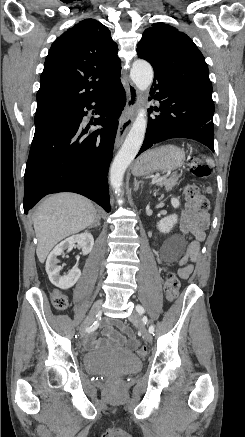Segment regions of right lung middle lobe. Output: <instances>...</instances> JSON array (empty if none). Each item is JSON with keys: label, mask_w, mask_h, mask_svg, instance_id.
I'll list each match as a JSON object with an SVG mask.
<instances>
[{"label": "right lung middle lobe", "mask_w": 245, "mask_h": 437, "mask_svg": "<svg viewBox=\"0 0 245 437\" xmlns=\"http://www.w3.org/2000/svg\"><path fill=\"white\" fill-rule=\"evenodd\" d=\"M62 106H57L49 109H44L40 111H36L35 115V125L40 123L44 118H46L49 114L53 113L54 111L61 109Z\"/></svg>", "instance_id": "1"}]
</instances>
